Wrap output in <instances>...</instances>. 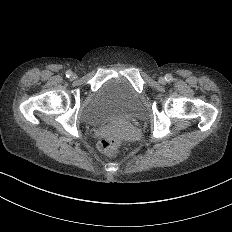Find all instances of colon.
I'll return each instance as SVG.
<instances>
[{
  "label": "colon",
  "mask_w": 232,
  "mask_h": 232,
  "mask_svg": "<svg viewBox=\"0 0 232 232\" xmlns=\"http://www.w3.org/2000/svg\"><path fill=\"white\" fill-rule=\"evenodd\" d=\"M107 137L100 141V149L104 153H111L115 149V141L122 139L126 133L124 124L118 120L109 122L105 128Z\"/></svg>",
  "instance_id": "colon-1"
}]
</instances>
